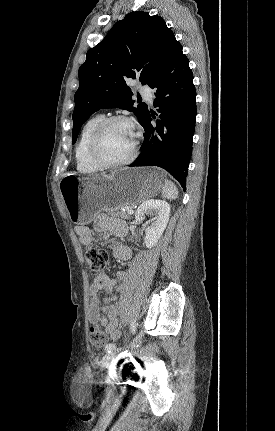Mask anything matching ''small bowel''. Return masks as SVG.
I'll list each match as a JSON object with an SVG mask.
<instances>
[{
  "instance_id": "small-bowel-1",
  "label": "small bowel",
  "mask_w": 275,
  "mask_h": 431,
  "mask_svg": "<svg viewBox=\"0 0 275 431\" xmlns=\"http://www.w3.org/2000/svg\"><path fill=\"white\" fill-rule=\"evenodd\" d=\"M94 229L100 235L111 234L117 238H121L127 233V227L122 221L106 216H101L95 221ZM75 232L83 245L92 243L93 231L89 227L77 225ZM110 246L117 259L127 261L131 258L132 250L128 245L118 240H112ZM125 275V271L118 273L120 278H124ZM115 284L114 278L100 274L94 278L90 286L89 320L91 323L100 324L111 339H118L121 336L119 328L121 305L117 302L116 296L101 300L99 293L101 291L112 292Z\"/></svg>"
}]
</instances>
